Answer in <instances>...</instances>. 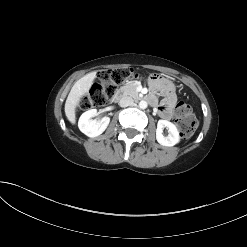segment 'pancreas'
I'll use <instances>...</instances> for the list:
<instances>
[{
    "instance_id": "cf45deb5",
    "label": "pancreas",
    "mask_w": 247,
    "mask_h": 247,
    "mask_svg": "<svg viewBox=\"0 0 247 247\" xmlns=\"http://www.w3.org/2000/svg\"><path fill=\"white\" fill-rule=\"evenodd\" d=\"M137 88V84L136 83H127L124 86L121 87V89H123V93L127 94V95H131L133 97H138V92L136 90Z\"/></svg>"
}]
</instances>
